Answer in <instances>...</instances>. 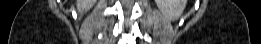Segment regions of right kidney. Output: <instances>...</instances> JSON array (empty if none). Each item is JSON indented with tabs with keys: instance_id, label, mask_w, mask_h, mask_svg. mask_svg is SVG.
Segmentation results:
<instances>
[{
	"instance_id": "obj_1",
	"label": "right kidney",
	"mask_w": 261,
	"mask_h": 44,
	"mask_svg": "<svg viewBox=\"0 0 261 44\" xmlns=\"http://www.w3.org/2000/svg\"><path fill=\"white\" fill-rule=\"evenodd\" d=\"M96 0H77V10L81 13L87 12Z\"/></svg>"
}]
</instances>
